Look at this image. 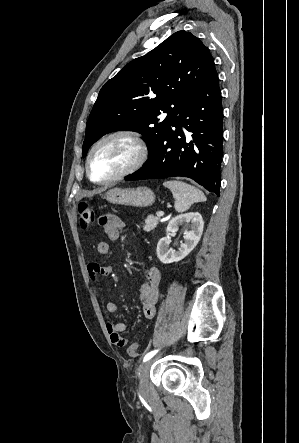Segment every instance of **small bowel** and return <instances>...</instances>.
<instances>
[{
  "label": "small bowel",
  "mask_w": 299,
  "mask_h": 443,
  "mask_svg": "<svg viewBox=\"0 0 299 443\" xmlns=\"http://www.w3.org/2000/svg\"><path fill=\"white\" fill-rule=\"evenodd\" d=\"M99 224L104 234L110 241H116L120 236V231L124 227L122 219L115 214H105L100 217ZM97 251L100 255H107L110 251L108 242L101 241L97 245ZM112 272V266L106 263H91L88 266V275L93 284L97 285L100 277L109 276ZM161 272L156 267L147 270L146 281L139 289V300L142 305V312L145 318H153L156 314V305L159 299V290L161 283ZM106 310L109 314L117 313V305L112 301L106 302ZM107 332L112 344L117 347H124L127 340L121 336L125 331L126 325L122 321L106 324Z\"/></svg>",
  "instance_id": "c3829d8e"
}]
</instances>
